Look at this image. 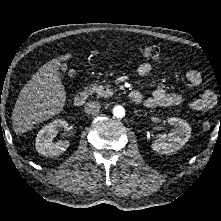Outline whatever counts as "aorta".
Wrapping results in <instances>:
<instances>
[{
  "instance_id": "762f6f07",
  "label": "aorta",
  "mask_w": 221,
  "mask_h": 221,
  "mask_svg": "<svg viewBox=\"0 0 221 221\" xmlns=\"http://www.w3.org/2000/svg\"><path fill=\"white\" fill-rule=\"evenodd\" d=\"M112 114L114 117L121 119L123 117H125L126 111L125 108L121 105H116L114 106V108L112 109Z\"/></svg>"
}]
</instances>
